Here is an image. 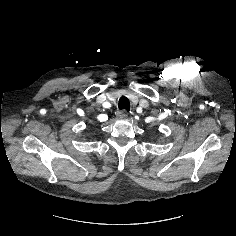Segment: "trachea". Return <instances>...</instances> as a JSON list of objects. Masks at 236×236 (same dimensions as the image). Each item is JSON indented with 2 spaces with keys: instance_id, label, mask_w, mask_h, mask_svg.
<instances>
[{
  "instance_id": "obj_1",
  "label": "trachea",
  "mask_w": 236,
  "mask_h": 236,
  "mask_svg": "<svg viewBox=\"0 0 236 236\" xmlns=\"http://www.w3.org/2000/svg\"><path fill=\"white\" fill-rule=\"evenodd\" d=\"M118 107H119V109H125V110L129 111L130 110V102H129L128 98L125 96H122L119 99Z\"/></svg>"
}]
</instances>
